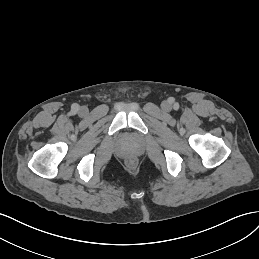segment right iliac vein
<instances>
[{"label": "right iliac vein", "mask_w": 259, "mask_h": 259, "mask_svg": "<svg viewBox=\"0 0 259 259\" xmlns=\"http://www.w3.org/2000/svg\"><path fill=\"white\" fill-rule=\"evenodd\" d=\"M88 113V108L86 106H82L80 109H79V114L82 115V116H85L87 115Z\"/></svg>", "instance_id": "1"}]
</instances>
